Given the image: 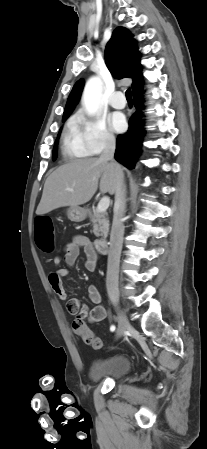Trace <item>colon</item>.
<instances>
[{
	"label": "colon",
	"mask_w": 207,
	"mask_h": 449,
	"mask_svg": "<svg viewBox=\"0 0 207 449\" xmlns=\"http://www.w3.org/2000/svg\"><path fill=\"white\" fill-rule=\"evenodd\" d=\"M35 241L38 248L43 252H52L54 249L53 224L48 216H40L35 224ZM72 328L76 335L81 337L84 342L94 349L103 347L102 340L94 335L82 319H75L72 322Z\"/></svg>",
	"instance_id": "colon-1"
}]
</instances>
